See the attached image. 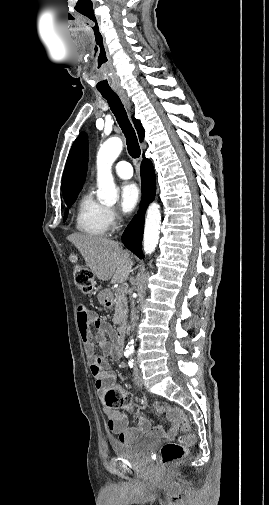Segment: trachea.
<instances>
[{
  "mask_svg": "<svg viewBox=\"0 0 269 505\" xmlns=\"http://www.w3.org/2000/svg\"><path fill=\"white\" fill-rule=\"evenodd\" d=\"M101 94L108 101L110 109L115 115L116 120L125 135L129 155L132 158H139L141 149L138 139L120 98L114 91L101 92Z\"/></svg>",
  "mask_w": 269,
  "mask_h": 505,
  "instance_id": "1",
  "label": "trachea"
}]
</instances>
